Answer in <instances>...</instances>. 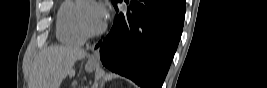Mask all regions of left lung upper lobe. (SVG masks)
<instances>
[{
    "label": "left lung upper lobe",
    "mask_w": 267,
    "mask_h": 88,
    "mask_svg": "<svg viewBox=\"0 0 267 88\" xmlns=\"http://www.w3.org/2000/svg\"><path fill=\"white\" fill-rule=\"evenodd\" d=\"M112 2H113V4H114V6H116V3H117V2H121V0H112Z\"/></svg>",
    "instance_id": "1"
}]
</instances>
